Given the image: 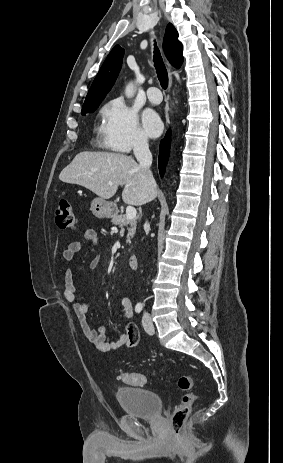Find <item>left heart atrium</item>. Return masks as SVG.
<instances>
[{
    "label": "left heart atrium",
    "mask_w": 283,
    "mask_h": 463,
    "mask_svg": "<svg viewBox=\"0 0 283 463\" xmlns=\"http://www.w3.org/2000/svg\"><path fill=\"white\" fill-rule=\"evenodd\" d=\"M142 124L145 133L151 138L159 136L163 129L159 116L150 110L143 113Z\"/></svg>",
    "instance_id": "obj_1"
}]
</instances>
